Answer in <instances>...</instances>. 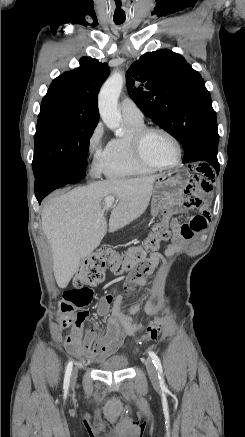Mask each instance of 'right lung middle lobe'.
Here are the masks:
<instances>
[{
	"instance_id": "1",
	"label": "right lung middle lobe",
	"mask_w": 245,
	"mask_h": 437,
	"mask_svg": "<svg viewBox=\"0 0 245 437\" xmlns=\"http://www.w3.org/2000/svg\"><path fill=\"white\" fill-rule=\"evenodd\" d=\"M97 123L63 109H41L34 136V175L49 168L86 171L89 142Z\"/></svg>"
}]
</instances>
